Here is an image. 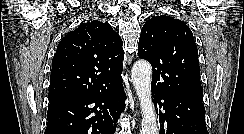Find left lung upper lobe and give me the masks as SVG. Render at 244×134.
<instances>
[{
    "mask_svg": "<svg viewBox=\"0 0 244 134\" xmlns=\"http://www.w3.org/2000/svg\"><path fill=\"white\" fill-rule=\"evenodd\" d=\"M138 55L152 65V88L202 100L198 50L193 34L182 21L160 15L141 30Z\"/></svg>",
    "mask_w": 244,
    "mask_h": 134,
    "instance_id": "obj_1",
    "label": "left lung upper lobe"
}]
</instances>
